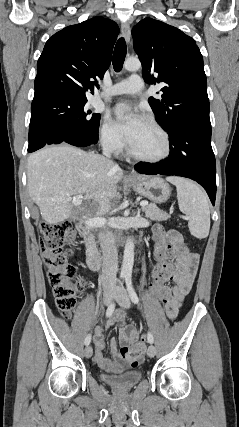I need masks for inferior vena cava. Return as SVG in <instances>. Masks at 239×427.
<instances>
[{"label":"inferior vena cava","instance_id":"1","mask_svg":"<svg viewBox=\"0 0 239 427\" xmlns=\"http://www.w3.org/2000/svg\"><path fill=\"white\" fill-rule=\"evenodd\" d=\"M112 145L110 142L103 147V154L110 158ZM118 168V165H116ZM99 240L103 254L101 281L104 290L116 289V273L118 270V250L115 236L112 231L104 230L99 233Z\"/></svg>","mask_w":239,"mask_h":427}]
</instances>
